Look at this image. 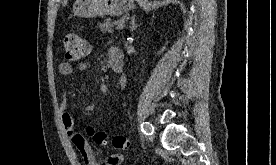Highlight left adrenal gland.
Wrapping results in <instances>:
<instances>
[{"instance_id": "left-adrenal-gland-1", "label": "left adrenal gland", "mask_w": 276, "mask_h": 165, "mask_svg": "<svg viewBox=\"0 0 276 165\" xmlns=\"http://www.w3.org/2000/svg\"><path fill=\"white\" fill-rule=\"evenodd\" d=\"M137 24L135 23V16L131 17V26H130V31L133 32L137 28Z\"/></svg>"}]
</instances>
